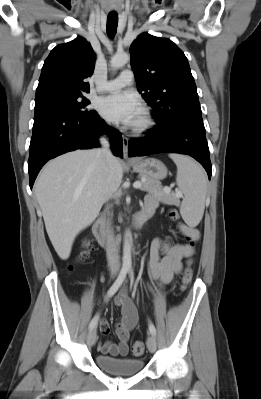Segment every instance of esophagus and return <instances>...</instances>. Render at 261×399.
<instances>
[{
	"label": "esophagus",
	"instance_id": "1",
	"mask_svg": "<svg viewBox=\"0 0 261 399\" xmlns=\"http://www.w3.org/2000/svg\"><path fill=\"white\" fill-rule=\"evenodd\" d=\"M122 142H123V155L124 158H128V142L129 139L126 136H122Z\"/></svg>",
	"mask_w": 261,
	"mask_h": 399
}]
</instances>
